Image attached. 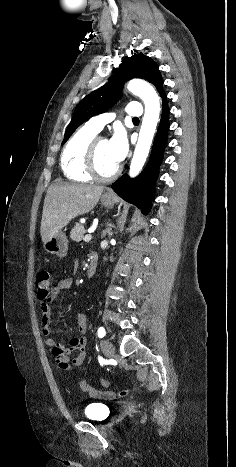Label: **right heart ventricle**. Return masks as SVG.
Instances as JSON below:
<instances>
[{
  "label": "right heart ventricle",
  "instance_id": "1",
  "mask_svg": "<svg viewBox=\"0 0 236 467\" xmlns=\"http://www.w3.org/2000/svg\"><path fill=\"white\" fill-rule=\"evenodd\" d=\"M97 131L85 125L69 139L61 155V169L65 177L75 182H89L86 171V151Z\"/></svg>",
  "mask_w": 236,
  "mask_h": 467
}]
</instances>
